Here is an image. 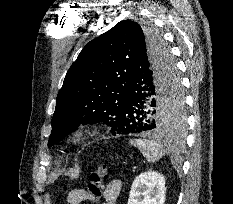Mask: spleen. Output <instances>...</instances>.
Instances as JSON below:
<instances>
[{
  "mask_svg": "<svg viewBox=\"0 0 233 204\" xmlns=\"http://www.w3.org/2000/svg\"><path fill=\"white\" fill-rule=\"evenodd\" d=\"M129 143L137 147L150 163L158 161L170 152L177 155V148L165 147L153 139H131Z\"/></svg>",
  "mask_w": 233,
  "mask_h": 204,
  "instance_id": "obj_1",
  "label": "spleen"
}]
</instances>
